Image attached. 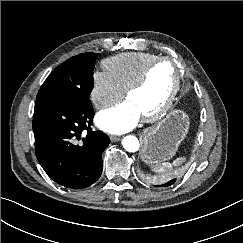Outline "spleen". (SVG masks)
<instances>
[{"instance_id":"3e777b00","label":"spleen","mask_w":243,"mask_h":243,"mask_svg":"<svg viewBox=\"0 0 243 243\" xmlns=\"http://www.w3.org/2000/svg\"><path fill=\"white\" fill-rule=\"evenodd\" d=\"M185 158L180 157L177 158L173 161V163H169V162H164V163H160V164H156L155 166H153L152 170L155 171L156 173H165L166 171L172 169L173 166H178L179 164H181L184 161Z\"/></svg>"}]
</instances>
